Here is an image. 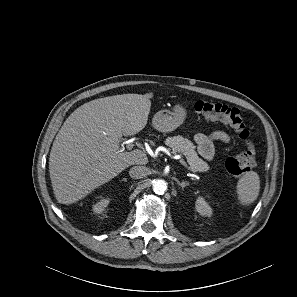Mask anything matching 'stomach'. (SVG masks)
Returning <instances> with one entry per match:
<instances>
[{
  "label": "stomach",
  "instance_id": "0dacf381",
  "mask_svg": "<svg viewBox=\"0 0 297 297\" xmlns=\"http://www.w3.org/2000/svg\"><path fill=\"white\" fill-rule=\"evenodd\" d=\"M186 115L185 107L177 104L172 111L161 110L157 112L152 120V125L159 132H171L184 122Z\"/></svg>",
  "mask_w": 297,
  "mask_h": 297
}]
</instances>
